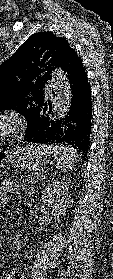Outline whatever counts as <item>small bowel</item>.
<instances>
[{"label": "small bowel", "mask_w": 113, "mask_h": 279, "mask_svg": "<svg viewBox=\"0 0 113 279\" xmlns=\"http://www.w3.org/2000/svg\"><path fill=\"white\" fill-rule=\"evenodd\" d=\"M6 192H9L17 196L19 194V189L13 181L10 180L4 181L0 189V207L1 204L6 200L5 198ZM21 243H22L21 237L19 235L15 236L13 239L14 248L19 249ZM17 271L18 270L7 273L4 279H17Z\"/></svg>", "instance_id": "small-bowel-1"}]
</instances>
